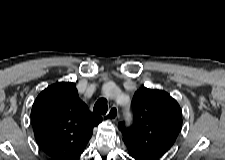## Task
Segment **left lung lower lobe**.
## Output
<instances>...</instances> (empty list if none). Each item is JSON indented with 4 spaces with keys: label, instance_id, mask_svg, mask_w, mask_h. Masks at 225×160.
<instances>
[{
    "label": "left lung lower lobe",
    "instance_id": "1",
    "mask_svg": "<svg viewBox=\"0 0 225 160\" xmlns=\"http://www.w3.org/2000/svg\"><path fill=\"white\" fill-rule=\"evenodd\" d=\"M128 155H129V160H141L140 158H138L137 156H134V155H132V154H130L129 152H128Z\"/></svg>",
    "mask_w": 225,
    "mask_h": 160
}]
</instances>
